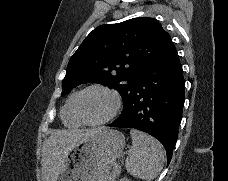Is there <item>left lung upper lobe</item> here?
<instances>
[{
    "label": "left lung upper lobe",
    "instance_id": "left-lung-upper-lobe-1",
    "mask_svg": "<svg viewBox=\"0 0 228 181\" xmlns=\"http://www.w3.org/2000/svg\"><path fill=\"white\" fill-rule=\"evenodd\" d=\"M171 41L153 18L140 17L94 29L71 57L62 82V94L95 82L115 88L125 111L130 90L141 70Z\"/></svg>",
    "mask_w": 228,
    "mask_h": 181
}]
</instances>
